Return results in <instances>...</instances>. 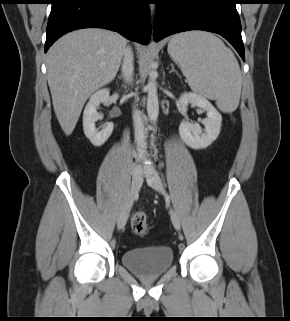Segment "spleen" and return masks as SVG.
Masks as SVG:
<instances>
[{
	"label": "spleen",
	"mask_w": 290,
	"mask_h": 321,
	"mask_svg": "<svg viewBox=\"0 0 290 321\" xmlns=\"http://www.w3.org/2000/svg\"><path fill=\"white\" fill-rule=\"evenodd\" d=\"M168 53L195 93L216 100L223 112L236 110L241 71L232 51L218 37L203 31L180 33L169 42Z\"/></svg>",
	"instance_id": "3e777b00"
}]
</instances>
